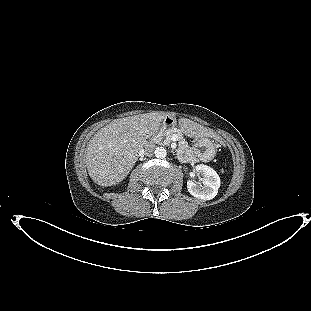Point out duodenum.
<instances>
[{
	"label": "duodenum",
	"instance_id": "obj_1",
	"mask_svg": "<svg viewBox=\"0 0 311 311\" xmlns=\"http://www.w3.org/2000/svg\"><path fill=\"white\" fill-rule=\"evenodd\" d=\"M173 124V119L170 118V117H167L165 120H164V125L167 126V127H170L172 126Z\"/></svg>",
	"mask_w": 311,
	"mask_h": 311
}]
</instances>
